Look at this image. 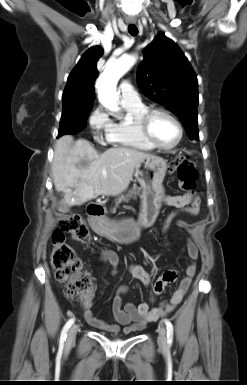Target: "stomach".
I'll return each instance as SVG.
<instances>
[{"label": "stomach", "instance_id": "1", "mask_svg": "<svg viewBox=\"0 0 247 385\" xmlns=\"http://www.w3.org/2000/svg\"><path fill=\"white\" fill-rule=\"evenodd\" d=\"M167 170L166 161L150 155L142 159L135 167L134 176L141 186V211L138 222L124 220L118 223L107 221L103 234L121 244H129L140 237L141 228H147L155 222L164 197L163 179Z\"/></svg>", "mask_w": 247, "mask_h": 385}]
</instances>
